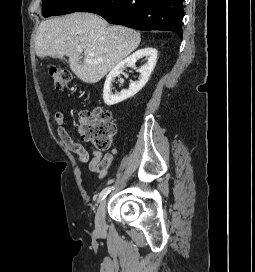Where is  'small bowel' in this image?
<instances>
[{
    "instance_id": "1",
    "label": "small bowel",
    "mask_w": 255,
    "mask_h": 272,
    "mask_svg": "<svg viewBox=\"0 0 255 272\" xmlns=\"http://www.w3.org/2000/svg\"><path fill=\"white\" fill-rule=\"evenodd\" d=\"M54 121L58 136L64 145L77 156V159L81 163H88V168L90 171L96 172L99 178H103L113 163L116 151L114 150L103 155L100 151L92 150V158L90 159V152L88 149L81 143L74 141L70 136L65 127L64 115L61 112H57L55 114Z\"/></svg>"
}]
</instances>
